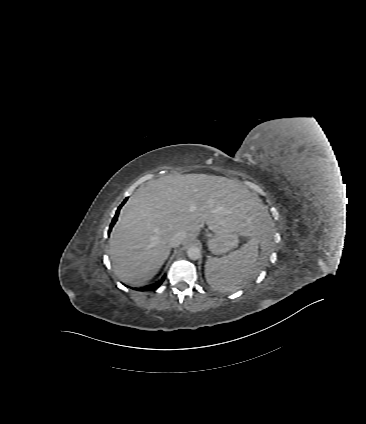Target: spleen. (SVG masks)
<instances>
[{
    "label": "spleen",
    "instance_id": "3e777b00",
    "mask_svg": "<svg viewBox=\"0 0 366 424\" xmlns=\"http://www.w3.org/2000/svg\"><path fill=\"white\" fill-rule=\"evenodd\" d=\"M257 237H252L240 249L223 258H210L205 264L208 284L220 292H234L245 286L255 275L258 261Z\"/></svg>",
    "mask_w": 366,
    "mask_h": 424
}]
</instances>
